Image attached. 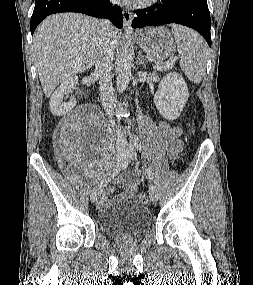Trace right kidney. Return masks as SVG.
I'll list each match as a JSON object with an SVG mask.
<instances>
[{
    "mask_svg": "<svg viewBox=\"0 0 253 285\" xmlns=\"http://www.w3.org/2000/svg\"><path fill=\"white\" fill-rule=\"evenodd\" d=\"M78 82V77L76 75L65 79L61 85L56 89L50 98V111L53 115L61 116L65 115L73 109L76 105V100L72 99L69 102L62 103L64 95L72 92L75 85Z\"/></svg>",
    "mask_w": 253,
    "mask_h": 285,
    "instance_id": "1",
    "label": "right kidney"
}]
</instances>
